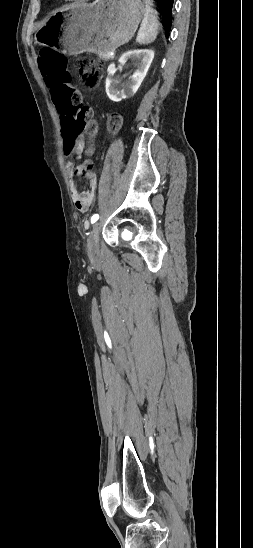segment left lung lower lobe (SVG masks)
I'll return each mask as SVG.
<instances>
[{
  "mask_svg": "<svg viewBox=\"0 0 253 548\" xmlns=\"http://www.w3.org/2000/svg\"><path fill=\"white\" fill-rule=\"evenodd\" d=\"M159 5V12L162 14L163 25L166 33L169 32L172 23V8L174 0H155Z\"/></svg>",
  "mask_w": 253,
  "mask_h": 548,
  "instance_id": "0a47b994",
  "label": "left lung lower lobe"
}]
</instances>
